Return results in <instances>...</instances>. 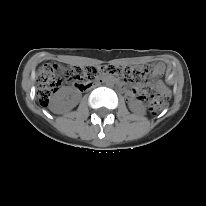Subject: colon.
I'll return each mask as SVG.
<instances>
[{"instance_id": "1", "label": "colon", "mask_w": 206, "mask_h": 206, "mask_svg": "<svg viewBox=\"0 0 206 206\" xmlns=\"http://www.w3.org/2000/svg\"><path fill=\"white\" fill-rule=\"evenodd\" d=\"M100 73L120 75L130 80L145 79L149 70L145 67L131 68L126 66L109 65L99 66H73L64 73V79L74 82L81 90L86 89L89 83ZM61 77L58 67L54 64H44L40 67L37 75V95L39 103L46 106L54 92L61 85ZM149 108L151 112L157 113L165 106L167 94L163 89L161 93L150 92Z\"/></svg>"}]
</instances>
